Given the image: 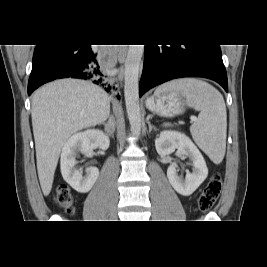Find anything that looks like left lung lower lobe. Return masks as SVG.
I'll list each match as a JSON object with an SVG mask.
<instances>
[{"instance_id":"obj_1","label":"left lung lower lobe","mask_w":267,"mask_h":267,"mask_svg":"<svg viewBox=\"0 0 267 267\" xmlns=\"http://www.w3.org/2000/svg\"><path fill=\"white\" fill-rule=\"evenodd\" d=\"M182 77H204L218 82L228 92L227 74L219 45H145L141 97L149 89Z\"/></svg>"}]
</instances>
